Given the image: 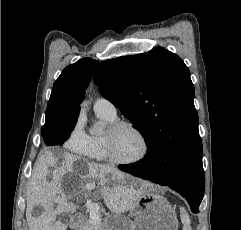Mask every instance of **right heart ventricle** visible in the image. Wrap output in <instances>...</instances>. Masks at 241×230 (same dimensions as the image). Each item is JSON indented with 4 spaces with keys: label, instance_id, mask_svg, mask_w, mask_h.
Returning <instances> with one entry per match:
<instances>
[{
    "label": "right heart ventricle",
    "instance_id": "obj_1",
    "mask_svg": "<svg viewBox=\"0 0 241 230\" xmlns=\"http://www.w3.org/2000/svg\"><path fill=\"white\" fill-rule=\"evenodd\" d=\"M98 116L106 123H113L116 118L104 114H98ZM87 158L95 161H107V155L104 146V136L92 135L90 136V146L88 151L84 154Z\"/></svg>",
    "mask_w": 241,
    "mask_h": 230
}]
</instances>
